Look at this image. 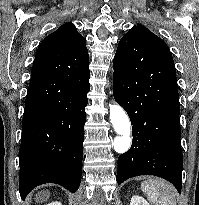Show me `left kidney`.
Instances as JSON below:
<instances>
[{"instance_id":"5707ae66","label":"left kidney","mask_w":199,"mask_h":205,"mask_svg":"<svg viewBox=\"0 0 199 205\" xmlns=\"http://www.w3.org/2000/svg\"><path fill=\"white\" fill-rule=\"evenodd\" d=\"M130 205H149V203L143 197L134 195L131 198Z\"/></svg>"}]
</instances>
